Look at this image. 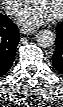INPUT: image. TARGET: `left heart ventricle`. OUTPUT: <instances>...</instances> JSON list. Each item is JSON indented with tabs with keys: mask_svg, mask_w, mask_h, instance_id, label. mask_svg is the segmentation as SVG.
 Masks as SVG:
<instances>
[{
	"mask_svg": "<svg viewBox=\"0 0 63 107\" xmlns=\"http://www.w3.org/2000/svg\"><path fill=\"white\" fill-rule=\"evenodd\" d=\"M60 1H47V0H33V3H37L41 5L44 9H46L51 15L55 14L59 7H60Z\"/></svg>",
	"mask_w": 63,
	"mask_h": 107,
	"instance_id": "left-heart-ventricle-1",
	"label": "left heart ventricle"
}]
</instances>
